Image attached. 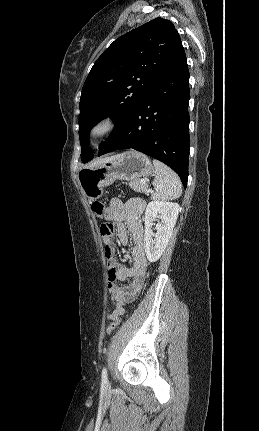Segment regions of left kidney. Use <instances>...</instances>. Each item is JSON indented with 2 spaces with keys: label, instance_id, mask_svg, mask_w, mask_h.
<instances>
[{
  "label": "left kidney",
  "instance_id": "5707ae66",
  "mask_svg": "<svg viewBox=\"0 0 259 431\" xmlns=\"http://www.w3.org/2000/svg\"><path fill=\"white\" fill-rule=\"evenodd\" d=\"M179 213V205L173 202L151 201L145 211L144 248L147 259L156 262L164 252L172 236ZM160 218L153 233V222Z\"/></svg>",
  "mask_w": 259,
  "mask_h": 431
}]
</instances>
